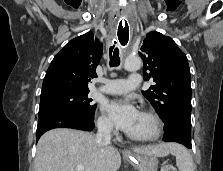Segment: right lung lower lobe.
Returning <instances> with one entry per match:
<instances>
[{"label": "right lung lower lobe", "mask_w": 223, "mask_h": 171, "mask_svg": "<svg viewBox=\"0 0 223 171\" xmlns=\"http://www.w3.org/2000/svg\"><path fill=\"white\" fill-rule=\"evenodd\" d=\"M54 128H73L92 131L94 128V118L87 117L72 110L49 112L39 117L36 131V142L46 131Z\"/></svg>", "instance_id": "98d812e1"}]
</instances>
